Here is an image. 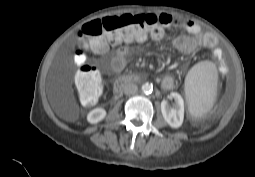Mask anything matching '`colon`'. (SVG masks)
<instances>
[{
	"label": "colon",
	"instance_id": "obj_1",
	"mask_svg": "<svg viewBox=\"0 0 255 177\" xmlns=\"http://www.w3.org/2000/svg\"><path fill=\"white\" fill-rule=\"evenodd\" d=\"M167 21L162 14L128 13L110 16L86 23L80 31L82 44L74 51V59L79 69L75 76V87L81 102L95 104L102 92L99 70L86 64L85 45L90 43L96 51L103 52L109 46L137 41L148 34L159 37Z\"/></svg>",
	"mask_w": 255,
	"mask_h": 177
}]
</instances>
